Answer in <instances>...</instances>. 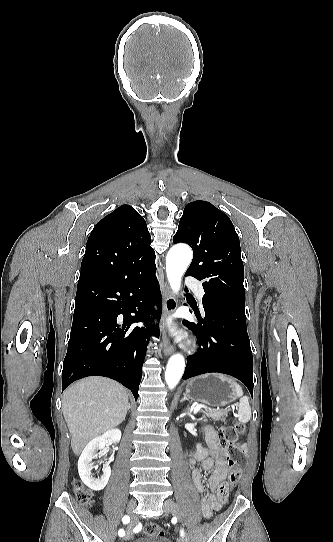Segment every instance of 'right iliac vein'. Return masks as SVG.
Listing matches in <instances>:
<instances>
[{
  "instance_id": "obj_1",
  "label": "right iliac vein",
  "mask_w": 333,
  "mask_h": 542,
  "mask_svg": "<svg viewBox=\"0 0 333 542\" xmlns=\"http://www.w3.org/2000/svg\"><path fill=\"white\" fill-rule=\"evenodd\" d=\"M134 508H135V503L133 502L129 504L128 510H127V515H129L133 521L136 520V517L133 515ZM133 528H134V523H130L126 530V535H125L126 540H130L131 537L133 536V533H132Z\"/></svg>"
}]
</instances>
